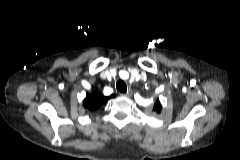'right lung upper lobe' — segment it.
Here are the masks:
<instances>
[{"instance_id":"obj_1","label":"right lung upper lobe","mask_w":240,"mask_h":160,"mask_svg":"<svg viewBox=\"0 0 240 160\" xmlns=\"http://www.w3.org/2000/svg\"><path fill=\"white\" fill-rule=\"evenodd\" d=\"M111 97H114V95L105 97L97 92H93L86 96L83 104L85 108L89 110H95L107 102Z\"/></svg>"}]
</instances>
